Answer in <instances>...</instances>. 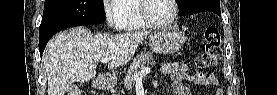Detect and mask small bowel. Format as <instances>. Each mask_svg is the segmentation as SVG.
I'll return each instance as SVG.
<instances>
[{
    "instance_id": "1",
    "label": "small bowel",
    "mask_w": 277,
    "mask_h": 95,
    "mask_svg": "<svg viewBox=\"0 0 277 95\" xmlns=\"http://www.w3.org/2000/svg\"><path fill=\"white\" fill-rule=\"evenodd\" d=\"M161 72L171 78V89L174 94L191 95L190 89L184 81H190L197 85L215 86L218 81L213 75L205 73H192L186 65L178 62H168L161 67ZM214 94H223L222 91H215Z\"/></svg>"
}]
</instances>
